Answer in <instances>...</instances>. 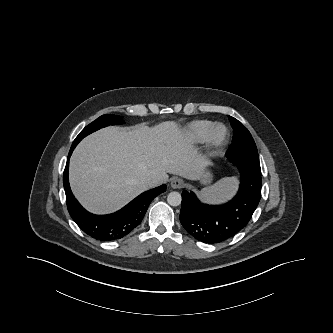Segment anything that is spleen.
Here are the masks:
<instances>
[{
    "label": "spleen",
    "mask_w": 333,
    "mask_h": 333,
    "mask_svg": "<svg viewBox=\"0 0 333 333\" xmlns=\"http://www.w3.org/2000/svg\"><path fill=\"white\" fill-rule=\"evenodd\" d=\"M237 179L235 177L225 178L217 184L200 191V198L208 203H220L232 196L236 189Z\"/></svg>",
    "instance_id": "obj_1"
}]
</instances>
